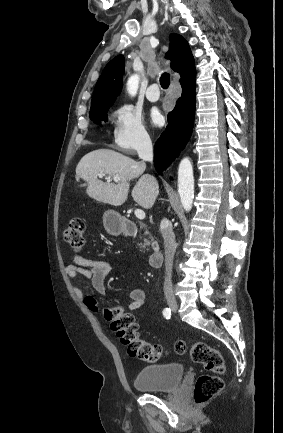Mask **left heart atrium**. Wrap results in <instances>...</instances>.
<instances>
[{
    "instance_id": "left-heart-atrium-1",
    "label": "left heart atrium",
    "mask_w": 283,
    "mask_h": 433,
    "mask_svg": "<svg viewBox=\"0 0 283 433\" xmlns=\"http://www.w3.org/2000/svg\"><path fill=\"white\" fill-rule=\"evenodd\" d=\"M150 118H151V122L154 125H160L162 123V119H163L161 113L158 110L152 111Z\"/></svg>"
}]
</instances>
